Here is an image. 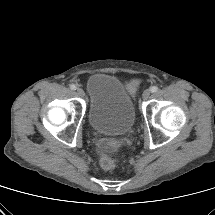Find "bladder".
<instances>
[{"label":"bladder","mask_w":215,"mask_h":215,"mask_svg":"<svg viewBox=\"0 0 215 215\" xmlns=\"http://www.w3.org/2000/svg\"><path fill=\"white\" fill-rule=\"evenodd\" d=\"M88 120L105 135H125L133 127L136 110L131 95L116 77L96 73L87 81Z\"/></svg>","instance_id":"1"}]
</instances>
